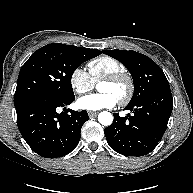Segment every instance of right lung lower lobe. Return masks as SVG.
Segmentation results:
<instances>
[{"mask_svg":"<svg viewBox=\"0 0 193 193\" xmlns=\"http://www.w3.org/2000/svg\"><path fill=\"white\" fill-rule=\"evenodd\" d=\"M74 99L40 95L15 106L19 131L34 152L45 158H57L77 146L82 125L89 119L87 112H56L57 107L69 105Z\"/></svg>","mask_w":193,"mask_h":193,"instance_id":"obj_1","label":"right lung lower lobe"}]
</instances>
